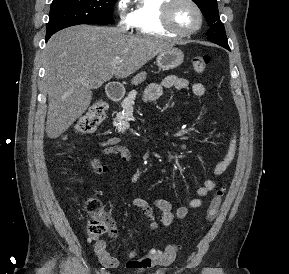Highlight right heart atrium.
Masks as SVG:
<instances>
[{
  "label": "right heart atrium",
  "instance_id": "1",
  "mask_svg": "<svg viewBox=\"0 0 289 274\" xmlns=\"http://www.w3.org/2000/svg\"><path fill=\"white\" fill-rule=\"evenodd\" d=\"M117 13L119 16V25L123 29L131 27L130 14L127 12V0H118L116 4Z\"/></svg>",
  "mask_w": 289,
  "mask_h": 274
}]
</instances>
